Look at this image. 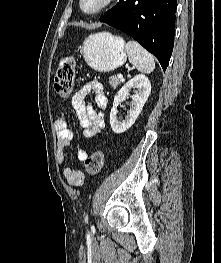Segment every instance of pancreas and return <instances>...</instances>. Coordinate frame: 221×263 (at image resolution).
I'll return each instance as SVG.
<instances>
[{
	"instance_id": "1",
	"label": "pancreas",
	"mask_w": 221,
	"mask_h": 263,
	"mask_svg": "<svg viewBox=\"0 0 221 263\" xmlns=\"http://www.w3.org/2000/svg\"><path fill=\"white\" fill-rule=\"evenodd\" d=\"M109 84L115 89L120 84V80L116 76H111L109 77Z\"/></svg>"
}]
</instances>
